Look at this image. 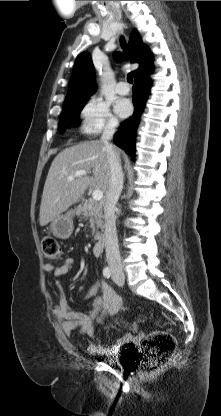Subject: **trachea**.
I'll list each match as a JSON object with an SVG mask.
<instances>
[{"label":"trachea","instance_id":"3493384b","mask_svg":"<svg viewBox=\"0 0 221 416\" xmlns=\"http://www.w3.org/2000/svg\"><path fill=\"white\" fill-rule=\"evenodd\" d=\"M121 45H122V47H124V46H125V40H124V38H123V37H121ZM127 81H128L129 83H133V73H132V72H130V73L127 75Z\"/></svg>","mask_w":221,"mask_h":416}]
</instances>
